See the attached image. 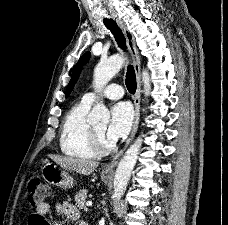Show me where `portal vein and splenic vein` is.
Listing matches in <instances>:
<instances>
[{"label":"portal vein and splenic vein","instance_id":"obj_1","mask_svg":"<svg viewBox=\"0 0 228 225\" xmlns=\"http://www.w3.org/2000/svg\"><path fill=\"white\" fill-rule=\"evenodd\" d=\"M92 203H86V207H91Z\"/></svg>","mask_w":228,"mask_h":225}]
</instances>
